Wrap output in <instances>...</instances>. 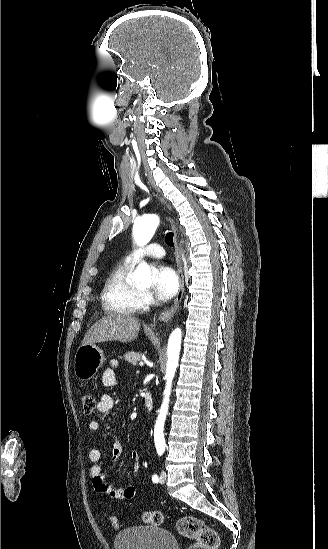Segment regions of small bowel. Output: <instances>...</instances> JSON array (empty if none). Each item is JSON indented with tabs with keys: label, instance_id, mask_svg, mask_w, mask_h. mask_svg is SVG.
<instances>
[{
	"label": "small bowel",
	"instance_id": "1",
	"mask_svg": "<svg viewBox=\"0 0 328 549\" xmlns=\"http://www.w3.org/2000/svg\"><path fill=\"white\" fill-rule=\"evenodd\" d=\"M115 365V363H114ZM102 384L105 387H113L116 384V373L113 369H107L102 374ZM114 406V399L109 394L101 396L98 404L97 411L101 414L108 413ZM100 422L97 420H91L89 422V429L92 432L100 430ZM122 454V445L119 442H115L112 447L111 461L116 462ZM101 458V451L97 448H93L88 453V459L90 462L89 474L92 479V484L95 491L101 495L115 500H130L136 495V487L134 485H128L124 488H114L104 482L105 472L102 466L99 464ZM131 459L134 466L133 471L136 475L141 467L140 453L138 450H132Z\"/></svg>",
	"mask_w": 328,
	"mask_h": 549
}]
</instances>
